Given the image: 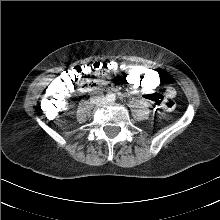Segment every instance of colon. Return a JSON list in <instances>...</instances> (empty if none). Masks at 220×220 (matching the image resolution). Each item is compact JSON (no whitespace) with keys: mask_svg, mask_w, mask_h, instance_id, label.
I'll list each match as a JSON object with an SVG mask.
<instances>
[{"mask_svg":"<svg viewBox=\"0 0 220 220\" xmlns=\"http://www.w3.org/2000/svg\"><path fill=\"white\" fill-rule=\"evenodd\" d=\"M101 64L104 68V74L97 76L94 66ZM110 74L107 66L101 62H94L87 65L75 66L55 78L52 87L42 96L41 104L45 113L57 114L63 108V102L70 93L77 92L80 89L81 81L88 77H98L106 79ZM123 78L128 85L141 92L152 93L147 96L150 103L149 112L157 116L160 120H167L171 116V110L174 108V92L164 91V93H153L159 90L163 85V78L154 68H147L142 64H131L123 71ZM88 86V85H87ZM95 87V86H91Z\"/></svg>","mask_w":220,"mask_h":220,"instance_id":"5ec220e1","label":"colon"}]
</instances>
